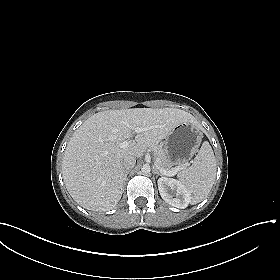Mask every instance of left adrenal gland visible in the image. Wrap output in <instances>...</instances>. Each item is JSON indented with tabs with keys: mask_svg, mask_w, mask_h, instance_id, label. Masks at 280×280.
Wrapping results in <instances>:
<instances>
[{
	"mask_svg": "<svg viewBox=\"0 0 280 280\" xmlns=\"http://www.w3.org/2000/svg\"><path fill=\"white\" fill-rule=\"evenodd\" d=\"M154 173L157 175V176H162L163 174L162 173H160L156 168H154Z\"/></svg>",
	"mask_w": 280,
	"mask_h": 280,
	"instance_id": "1",
	"label": "left adrenal gland"
}]
</instances>
